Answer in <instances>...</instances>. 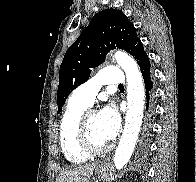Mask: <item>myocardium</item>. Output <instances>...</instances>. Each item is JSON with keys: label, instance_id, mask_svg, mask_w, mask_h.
Masks as SVG:
<instances>
[{"label": "myocardium", "instance_id": "myocardium-1", "mask_svg": "<svg viewBox=\"0 0 196 182\" xmlns=\"http://www.w3.org/2000/svg\"><path fill=\"white\" fill-rule=\"evenodd\" d=\"M95 110H85L79 117L75 129V142L78 149L88 156L101 155L108 152L111 144L95 148L90 145L87 137V120L90 115L95 114Z\"/></svg>", "mask_w": 196, "mask_h": 182}]
</instances>
